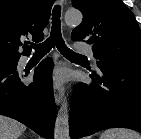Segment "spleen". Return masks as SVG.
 <instances>
[{"label":"spleen","mask_w":141,"mask_h":139,"mask_svg":"<svg viewBox=\"0 0 141 139\" xmlns=\"http://www.w3.org/2000/svg\"><path fill=\"white\" fill-rule=\"evenodd\" d=\"M100 139H141V135L133 130L113 128L104 131Z\"/></svg>","instance_id":"3e777b00"}]
</instances>
